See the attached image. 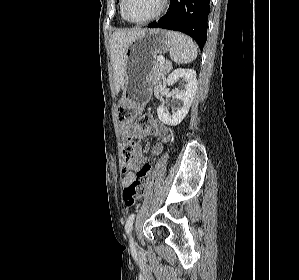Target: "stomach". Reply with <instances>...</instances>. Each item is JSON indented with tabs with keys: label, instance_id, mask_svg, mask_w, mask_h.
Instances as JSON below:
<instances>
[{
	"label": "stomach",
	"instance_id": "0dacf381",
	"mask_svg": "<svg viewBox=\"0 0 299 280\" xmlns=\"http://www.w3.org/2000/svg\"><path fill=\"white\" fill-rule=\"evenodd\" d=\"M170 48L167 34L162 29H146L131 41L126 49L125 77L119 105L123 109V122L131 121L139 114L152 90L149 79L156 56Z\"/></svg>",
	"mask_w": 299,
	"mask_h": 280
}]
</instances>
